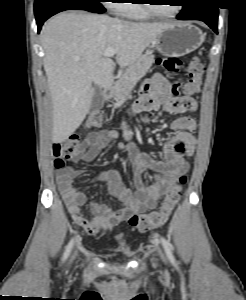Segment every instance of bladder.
Instances as JSON below:
<instances>
[{"mask_svg":"<svg viewBox=\"0 0 246 300\" xmlns=\"http://www.w3.org/2000/svg\"><path fill=\"white\" fill-rule=\"evenodd\" d=\"M115 242H116V245H117L118 247H121L122 244H123V242H122V240H121L120 238H116Z\"/></svg>","mask_w":246,"mask_h":300,"instance_id":"bladder-1","label":"bladder"}]
</instances>
